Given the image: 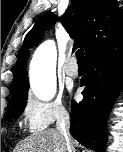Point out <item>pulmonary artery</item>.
<instances>
[{"instance_id": "e3ab8cb5", "label": "pulmonary artery", "mask_w": 123, "mask_h": 152, "mask_svg": "<svg viewBox=\"0 0 123 152\" xmlns=\"http://www.w3.org/2000/svg\"><path fill=\"white\" fill-rule=\"evenodd\" d=\"M65 73L70 77H76L78 74V66L76 60L71 58L64 69Z\"/></svg>"}]
</instances>
